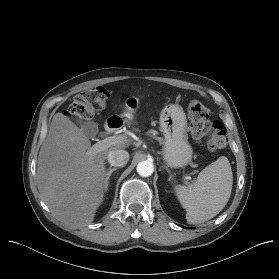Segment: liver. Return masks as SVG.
<instances>
[{
  "instance_id": "1",
  "label": "liver",
  "mask_w": 279,
  "mask_h": 279,
  "mask_svg": "<svg viewBox=\"0 0 279 279\" xmlns=\"http://www.w3.org/2000/svg\"><path fill=\"white\" fill-rule=\"evenodd\" d=\"M120 117L124 124L132 119L127 109ZM126 146L127 142L90 155L91 142L82 129L56 113L38 156L36 181L42 200L70 228L90 224L104 198L105 160L111 150Z\"/></svg>"
}]
</instances>
